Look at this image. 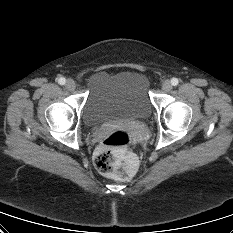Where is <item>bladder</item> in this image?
<instances>
[{
  "label": "bladder",
  "instance_id": "1",
  "mask_svg": "<svg viewBox=\"0 0 233 233\" xmlns=\"http://www.w3.org/2000/svg\"><path fill=\"white\" fill-rule=\"evenodd\" d=\"M150 80L138 70L100 71L87 82L84 122L97 127L111 121L147 119L152 112Z\"/></svg>",
  "mask_w": 233,
  "mask_h": 233
}]
</instances>
